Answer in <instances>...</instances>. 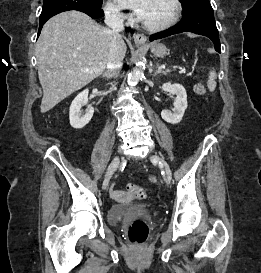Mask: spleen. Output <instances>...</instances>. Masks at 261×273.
Masks as SVG:
<instances>
[{
    "mask_svg": "<svg viewBox=\"0 0 261 273\" xmlns=\"http://www.w3.org/2000/svg\"><path fill=\"white\" fill-rule=\"evenodd\" d=\"M217 78V74L215 70H212L208 74V81H207V86L209 91L213 92L216 88V81L215 79Z\"/></svg>",
    "mask_w": 261,
    "mask_h": 273,
    "instance_id": "spleen-1",
    "label": "spleen"
}]
</instances>
